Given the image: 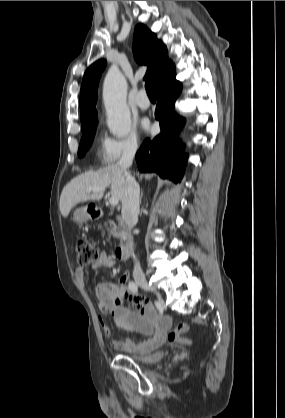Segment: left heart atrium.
Masks as SVG:
<instances>
[{"label":"left heart atrium","mask_w":285,"mask_h":418,"mask_svg":"<svg viewBox=\"0 0 285 418\" xmlns=\"http://www.w3.org/2000/svg\"><path fill=\"white\" fill-rule=\"evenodd\" d=\"M143 126H144V128H148V123L147 122H143Z\"/></svg>","instance_id":"left-heart-atrium-1"}]
</instances>
